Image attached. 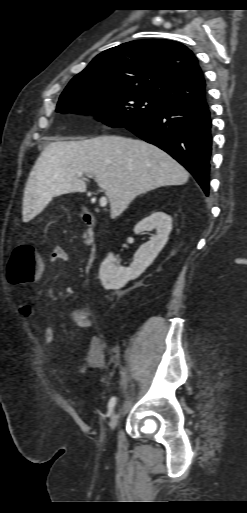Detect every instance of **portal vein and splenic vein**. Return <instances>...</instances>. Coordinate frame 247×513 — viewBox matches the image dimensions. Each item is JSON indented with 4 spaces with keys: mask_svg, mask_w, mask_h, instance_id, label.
<instances>
[{
    "mask_svg": "<svg viewBox=\"0 0 247 513\" xmlns=\"http://www.w3.org/2000/svg\"><path fill=\"white\" fill-rule=\"evenodd\" d=\"M78 176H79V177H82V176H83V173H81V172H80V173H78ZM86 176L91 177V175H86ZM106 205H107V198H106L105 196H102V197L100 198V206H101V207H105Z\"/></svg>",
    "mask_w": 247,
    "mask_h": 513,
    "instance_id": "18ae733b",
    "label": "portal vein and splenic vein"
}]
</instances>
